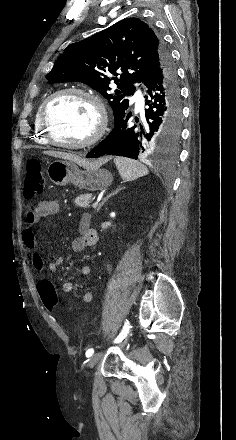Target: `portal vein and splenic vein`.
<instances>
[{
  "label": "portal vein and splenic vein",
  "instance_id": "portal-vein-and-splenic-vein-1",
  "mask_svg": "<svg viewBox=\"0 0 236 440\" xmlns=\"http://www.w3.org/2000/svg\"><path fill=\"white\" fill-rule=\"evenodd\" d=\"M97 205H98V201L97 202H95L93 205H92V207L93 208H96L97 207Z\"/></svg>",
  "mask_w": 236,
  "mask_h": 440
}]
</instances>
